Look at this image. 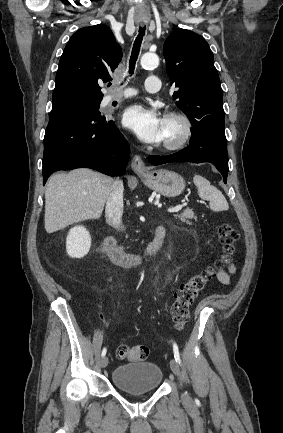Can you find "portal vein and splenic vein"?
Here are the masks:
<instances>
[{
	"instance_id": "18ae733b",
	"label": "portal vein and splenic vein",
	"mask_w": 283,
	"mask_h": 433,
	"mask_svg": "<svg viewBox=\"0 0 283 433\" xmlns=\"http://www.w3.org/2000/svg\"><path fill=\"white\" fill-rule=\"evenodd\" d=\"M183 208V204H177V206H174V208H168V212H178V210H181Z\"/></svg>"
}]
</instances>
